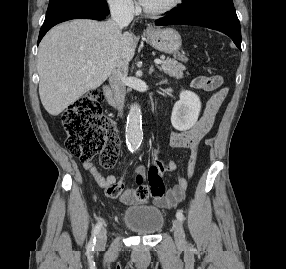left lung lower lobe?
Segmentation results:
<instances>
[{
	"label": "left lung lower lobe",
	"instance_id": "1",
	"mask_svg": "<svg viewBox=\"0 0 286 269\" xmlns=\"http://www.w3.org/2000/svg\"><path fill=\"white\" fill-rule=\"evenodd\" d=\"M168 16L155 21L156 25H196L218 30L228 35L241 50L240 22L233 7L211 6L180 12L173 10Z\"/></svg>",
	"mask_w": 286,
	"mask_h": 269
}]
</instances>
